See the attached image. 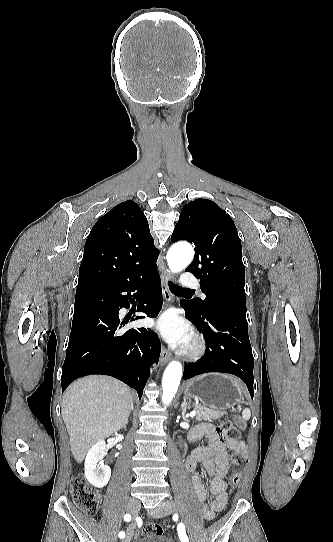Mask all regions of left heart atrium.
<instances>
[{
  "mask_svg": "<svg viewBox=\"0 0 333 542\" xmlns=\"http://www.w3.org/2000/svg\"><path fill=\"white\" fill-rule=\"evenodd\" d=\"M157 327L175 349L184 348L193 335L190 324L180 318L174 310L166 311L157 321Z\"/></svg>",
  "mask_w": 333,
  "mask_h": 542,
  "instance_id": "1",
  "label": "left heart atrium"
}]
</instances>
